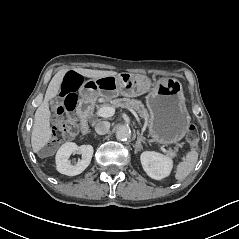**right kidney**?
I'll return each instance as SVG.
<instances>
[{"instance_id":"ca27d5eb","label":"right kidney","mask_w":239,"mask_h":239,"mask_svg":"<svg viewBox=\"0 0 239 239\" xmlns=\"http://www.w3.org/2000/svg\"><path fill=\"white\" fill-rule=\"evenodd\" d=\"M93 147L89 144L76 145L75 143H66L64 144L56 155V164L57 169L60 173L66 174L69 176H74L82 173L90 164ZM81 154V160L77 164L72 165L70 162L71 155Z\"/></svg>"}]
</instances>
